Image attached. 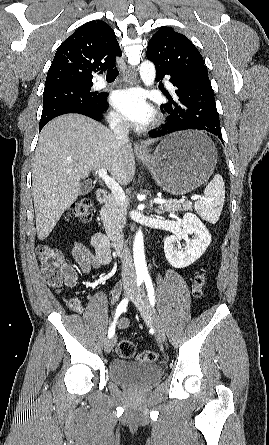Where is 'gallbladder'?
<instances>
[{
    "label": "gallbladder",
    "instance_id": "bac80fb5",
    "mask_svg": "<svg viewBox=\"0 0 269 445\" xmlns=\"http://www.w3.org/2000/svg\"><path fill=\"white\" fill-rule=\"evenodd\" d=\"M92 189V184L90 182H85L81 184V195L88 194Z\"/></svg>",
    "mask_w": 269,
    "mask_h": 445
}]
</instances>
